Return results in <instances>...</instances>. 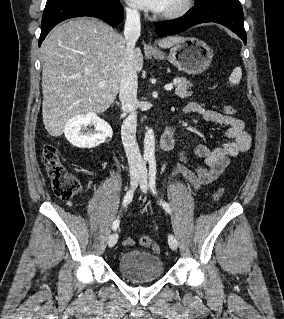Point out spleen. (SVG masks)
I'll return each mask as SVG.
<instances>
[{
    "label": "spleen",
    "instance_id": "obj_1",
    "mask_svg": "<svg viewBox=\"0 0 284 319\" xmlns=\"http://www.w3.org/2000/svg\"><path fill=\"white\" fill-rule=\"evenodd\" d=\"M242 78V70L240 67H236L229 77V82L231 85L238 84Z\"/></svg>",
    "mask_w": 284,
    "mask_h": 319
}]
</instances>
